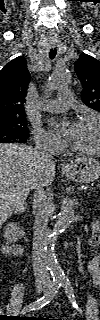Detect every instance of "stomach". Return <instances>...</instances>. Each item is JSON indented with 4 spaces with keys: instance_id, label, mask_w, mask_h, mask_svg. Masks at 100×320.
Returning a JSON list of instances; mask_svg holds the SVG:
<instances>
[{
    "instance_id": "0dacf381",
    "label": "stomach",
    "mask_w": 100,
    "mask_h": 320,
    "mask_svg": "<svg viewBox=\"0 0 100 320\" xmlns=\"http://www.w3.org/2000/svg\"><path fill=\"white\" fill-rule=\"evenodd\" d=\"M66 176L78 183H91L100 177V162L92 157H79L65 168Z\"/></svg>"
}]
</instances>
